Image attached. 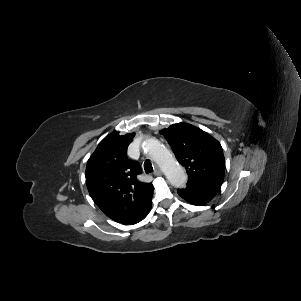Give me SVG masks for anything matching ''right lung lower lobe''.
<instances>
[{"label":"right lung lower lobe","instance_id":"1","mask_svg":"<svg viewBox=\"0 0 301 301\" xmlns=\"http://www.w3.org/2000/svg\"><path fill=\"white\" fill-rule=\"evenodd\" d=\"M151 205H152V196L150 197L147 205L142 210V212L128 224H136V223L140 222L141 220H143L150 212Z\"/></svg>","mask_w":301,"mask_h":301}]
</instances>
